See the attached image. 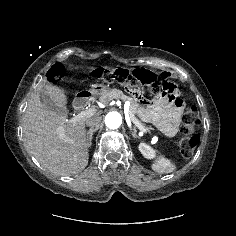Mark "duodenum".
<instances>
[{
    "instance_id": "410a0bca",
    "label": "duodenum",
    "mask_w": 236,
    "mask_h": 236,
    "mask_svg": "<svg viewBox=\"0 0 236 236\" xmlns=\"http://www.w3.org/2000/svg\"><path fill=\"white\" fill-rule=\"evenodd\" d=\"M91 100V95L84 93L79 95L73 102V107L76 110L84 109Z\"/></svg>"
}]
</instances>
